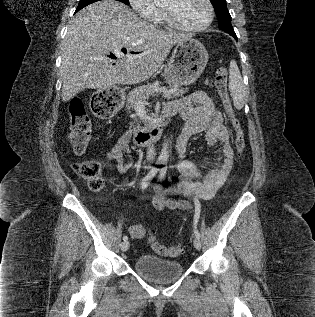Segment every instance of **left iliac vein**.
I'll return each mask as SVG.
<instances>
[{
	"mask_svg": "<svg viewBox=\"0 0 315 317\" xmlns=\"http://www.w3.org/2000/svg\"><path fill=\"white\" fill-rule=\"evenodd\" d=\"M193 244H194V247H195L197 250H200V249H201L202 243H201L200 238L195 237L194 240H193Z\"/></svg>",
	"mask_w": 315,
	"mask_h": 317,
	"instance_id": "left-iliac-vein-1",
	"label": "left iliac vein"
}]
</instances>
